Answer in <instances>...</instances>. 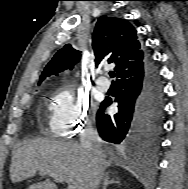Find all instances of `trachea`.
Wrapping results in <instances>:
<instances>
[{"label": "trachea", "instance_id": "obj_1", "mask_svg": "<svg viewBox=\"0 0 188 189\" xmlns=\"http://www.w3.org/2000/svg\"><path fill=\"white\" fill-rule=\"evenodd\" d=\"M109 75H110V77H112V78L115 77V73H114L113 71H111V72L109 73Z\"/></svg>", "mask_w": 188, "mask_h": 189}]
</instances>
